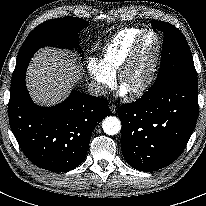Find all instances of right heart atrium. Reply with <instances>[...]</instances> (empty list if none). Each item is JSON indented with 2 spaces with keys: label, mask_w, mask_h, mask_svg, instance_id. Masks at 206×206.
Returning a JSON list of instances; mask_svg holds the SVG:
<instances>
[{
  "label": "right heart atrium",
  "mask_w": 206,
  "mask_h": 206,
  "mask_svg": "<svg viewBox=\"0 0 206 206\" xmlns=\"http://www.w3.org/2000/svg\"><path fill=\"white\" fill-rule=\"evenodd\" d=\"M88 71L93 79L95 91L104 94L114 84V77L108 74L94 59L88 63Z\"/></svg>",
  "instance_id": "obj_1"
}]
</instances>
